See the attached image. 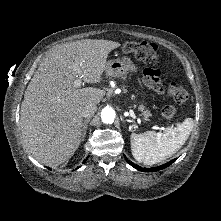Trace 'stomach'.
<instances>
[{"label": "stomach", "mask_w": 221, "mask_h": 221, "mask_svg": "<svg viewBox=\"0 0 221 221\" xmlns=\"http://www.w3.org/2000/svg\"><path fill=\"white\" fill-rule=\"evenodd\" d=\"M137 67L132 62L131 58L124 56L115 60H110L106 63L105 72L111 77H123L129 72L136 71Z\"/></svg>", "instance_id": "obj_1"}]
</instances>
